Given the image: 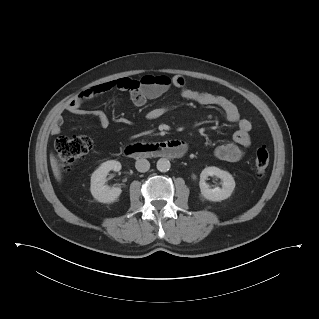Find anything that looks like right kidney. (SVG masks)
Segmentation results:
<instances>
[{
	"label": "right kidney",
	"mask_w": 319,
	"mask_h": 319,
	"mask_svg": "<svg viewBox=\"0 0 319 319\" xmlns=\"http://www.w3.org/2000/svg\"><path fill=\"white\" fill-rule=\"evenodd\" d=\"M111 170L120 171L121 163L115 160L106 161L92 173L90 190L92 196L98 202H114L122 192L119 187L110 188L105 184L106 176Z\"/></svg>",
	"instance_id": "obj_1"
}]
</instances>
